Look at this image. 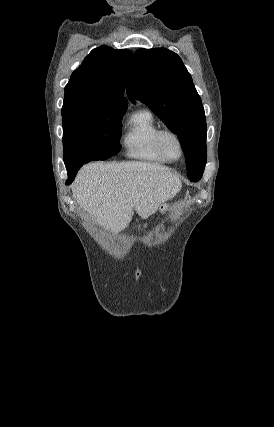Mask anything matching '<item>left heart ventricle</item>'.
<instances>
[{"instance_id":"obj_1","label":"left heart ventricle","mask_w":274,"mask_h":427,"mask_svg":"<svg viewBox=\"0 0 274 427\" xmlns=\"http://www.w3.org/2000/svg\"><path fill=\"white\" fill-rule=\"evenodd\" d=\"M164 148L166 153L173 159H179L180 157V146L176 138L171 135L164 137Z\"/></svg>"}]
</instances>
